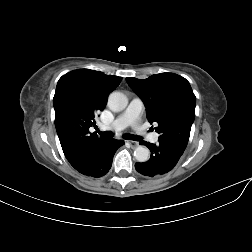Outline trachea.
<instances>
[{
	"instance_id": "obj_1",
	"label": "trachea",
	"mask_w": 252,
	"mask_h": 252,
	"mask_svg": "<svg viewBox=\"0 0 252 252\" xmlns=\"http://www.w3.org/2000/svg\"><path fill=\"white\" fill-rule=\"evenodd\" d=\"M96 132L99 135H102V136H105V137H113L114 136V134L112 132H109V131L102 132L98 128L96 129ZM123 138L127 139V140H133V141H140L142 139L141 137H139L137 135H132V134H128V133L124 134Z\"/></svg>"
}]
</instances>
